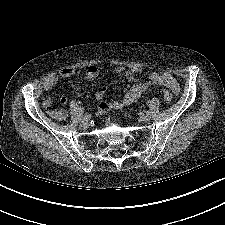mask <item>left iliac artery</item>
Returning <instances> with one entry per match:
<instances>
[{
  "mask_svg": "<svg viewBox=\"0 0 225 225\" xmlns=\"http://www.w3.org/2000/svg\"><path fill=\"white\" fill-rule=\"evenodd\" d=\"M143 114H144V115H149V114H150V111H149V110H144V111H143Z\"/></svg>",
  "mask_w": 225,
  "mask_h": 225,
  "instance_id": "44dca946",
  "label": "left iliac artery"
}]
</instances>
